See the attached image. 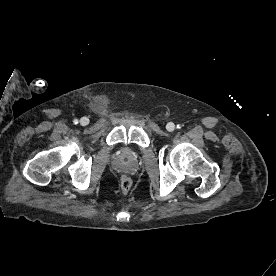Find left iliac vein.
I'll use <instances>...</instances> for the list:
<instances>
[{"instance_id": "obj_1", "label": "left iliac vein", "mask_w": 276, "mask_h": 276, "mask_svg": "<svg viewBox=\"0 0 276 276\" xmlns=\"http://www.w3.org/2000/svg\"><path fill=\"white\" fill-rule=\"evenodd\" d=\"M166 129L171 132L175 129V125L172 122H170L166 125Z\"/></svg>"}]
</instances>
